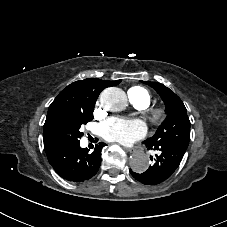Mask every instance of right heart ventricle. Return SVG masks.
I'll list each match as a JSON object with an SVG mask.
<instances>
[{
  "instance_id": "obj_1",
  "label": "right heart ventricle",
  "mask_w": 227,
  "mask_h": 227,
  "mask_svg": "<svg viewBox=\"0 0 227 227\" xmlns=\"http://www.w3.org/2000/svg\"><path fill=\"white\" fill-rule=\"evenodd\" d=\"M129 98L139 108H145L151 101L149 92L140 87H132L127 91Z\"/></svg>"
}]
</instances>
